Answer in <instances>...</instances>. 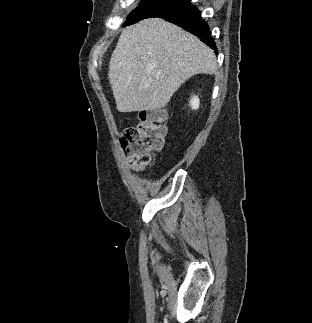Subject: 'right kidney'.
Wrapping results in <instances>:
<instances>
[{"mask_svg": "<svg viewBox=\"0 0 312 323\" xmlns=\"http://www.w3.org/2000/svg\"><path fill=\"white\" fill-rule=\"evenodd\" d=\"M200 104V100L198 96H192L189 106H191L192 110H198Z\"/></svg>", "mask_w": 312, "mask_h": 323, "instance_id": "ca27d5eb", "label": "right kidney"}]
</instances>
